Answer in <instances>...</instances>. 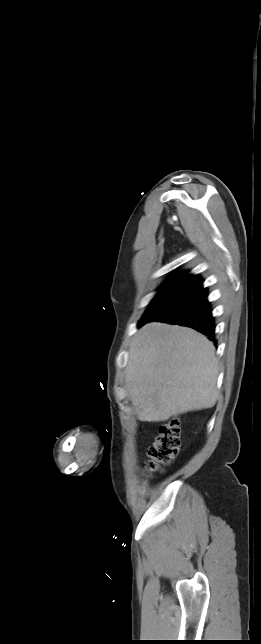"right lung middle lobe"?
<instances>
[{"label": "right lung middle lobe", "instance_id": "dd1d6c3e", "mask_svg": "<svg viewBox=\"0 0 261 644\" xmlns=\"http://www.w3.org/2000/svg\"><path fill=\"white\" fill-rule=\"evenodd\" d=\"M202 289L201 284L184 281H167L150 302L138 325L156 320L194 298Z\"/></svg>", "mask_w": 261, "mask_h": 644}]
</instances>
